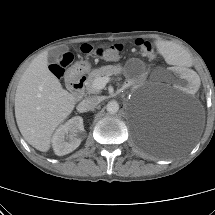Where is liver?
<instances>
[{
  "label": "liver",
  "instance_id": "1",
  "mask_svg": "<svg viewBox=\"0 0 215 215\" xmlns=\"http://www.w3.org/2000/svg\"><path fill=\"white\" fill-rule=\"evenodd\" d=\"M75 104V97L49 70L48 53L39 54L21 76L15 94V117L23 138L37 150L47 152L53 132Z\"/></svg>",
  "mask_w": 215,
  "mask_h": 215
}]
</instances>
